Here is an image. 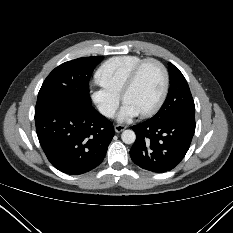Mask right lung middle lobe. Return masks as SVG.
<instances>
[{"instance_id":"obj_1","label":"right lung middle lobe","mask_w":233,"mask_h":233,"mask_svg":"<svg viewBox=\"0 0 233 233\" xmlns=\"http://www.w3.org/2000/svg\"><path fill=\"white\" fill-rule=\"evenodd\" d=\"M102 56L82 57L56 67L39 91L35 111L54 104L91 105L89 80Z\"/></svg>"}]
</instances>
